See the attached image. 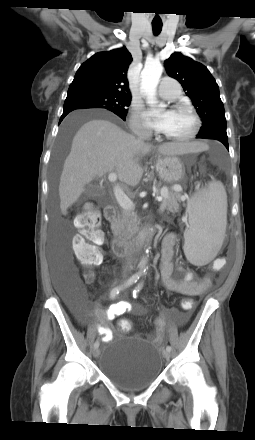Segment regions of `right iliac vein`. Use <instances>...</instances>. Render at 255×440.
<instances>
[{
	"label": "right iliac vein",
	"instance_id": "obj_1",
	"mask_svg": "<svg viewBox=\"0 0 255 440\" xmlns=\"http://www.w3.org/2000/svg\"><path fill=\"white\" fill-rule=\"evenodd\" d=\"M99 354H100L99 349H98V348H94V349H93V356H94L95 358H98V357H99Z\"/></svg>",
	"mask_w": 255,
	"mask_h": 440
}]
</instances>
